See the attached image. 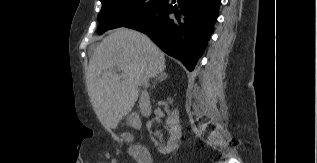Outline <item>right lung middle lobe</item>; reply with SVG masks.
<instances>
[{"mask_svg": "<svg viewBox=\"0 0 317 163\" xmlns=\"http://www.w3.org/2000/svg\"><path fill=\"white\" fill-rule=\"evenodd\" d=\"M102 9L98 14L100 25L97 32L125 26L156 10L165 0H100Z\"/></svg>", "mask_w": 317, "mask_h": 163, "instance_id": "right-lung-middle-lobe-1", "label": "right lung middle lobe"}]
</instances>
